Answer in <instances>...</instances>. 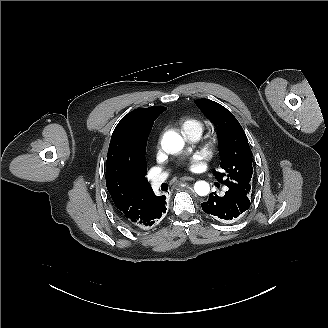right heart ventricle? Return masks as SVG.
<instances>
[{
    "mask_svg": "<svg viewBox=\"0 0 328 328\" xmlns=\"http://www.w3.org/2000/svg\"><path fill=\"white\" fill-rule=\"evenodd\" d=\"M182 134L188 140L199 139L207 129V122L200 117H189L179 123Z\"/></svg>",
    "mask_w": 328,
    "mask_h": 328,
    "instance_id": "obj_1",
    "label": "right heart ventricle"
}]
</instances>
